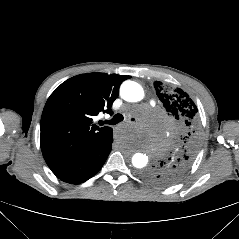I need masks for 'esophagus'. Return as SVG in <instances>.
<instances>
[{"instance_id": "1", "label": "esophagus", "mask_w": 239, "mask_h": 239, "mask_svg": "<svg viewBox=\"0 0 239 239\" xmlns=\"http://www.w3.org/2000/svg\"><path fill=\"white\" fill-rule=\"evenodd\" d=\"M112 136H113L114 138H119V137L121 136V131H120L119 129H114V130L112 131Z\"/></svg>"}]
</instances>
